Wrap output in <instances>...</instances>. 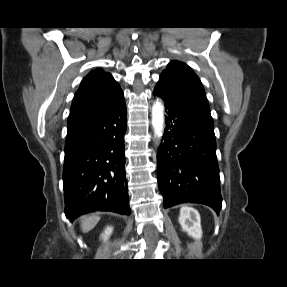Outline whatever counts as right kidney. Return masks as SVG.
Here are the masks:
<instances>
[{
    "mask_svg": "<svg viewBox=\"0 0 287 287\" xmlns=\"http://www.w3.org/2000/svg\"><path fill=\"white\" fill-rule=\"evenodd\" d=\"M113 231V228L112 227H107L104 231V233L101 235V238L106 241L108 240V238L110 237L111 233Z\"/></svg>",
    "mask_w": 287,
    "mask_h": 287,
    "instance_id": "ca27d5eb",
    "label": "right kidney"
}]
</instances>
